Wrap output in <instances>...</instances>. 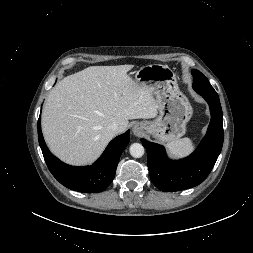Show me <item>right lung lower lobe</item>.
I'll use <instances>...</instances> for the list:
<instances>
[{
	"mask_svg": "<svg viewBox=\"0 0 253 253\" xmlns=\"http://www.w3.org/2000/svg\"><path fill=\"white\" fill-rule=\"evenodd\" d=\"M129 137L128 130L113 139L92 166L74 167L61 162L49 151L41 131V118L38 120V140L50 172L65 187L82 193H98L108 187L115 177L119 158L129 143Z\"/></svg>",
	"mask_w": 253,
	"mask_h": 253,
	"instance_id": "obj_1",
	"label": "right lung lower lobe"
}]
</instances>
